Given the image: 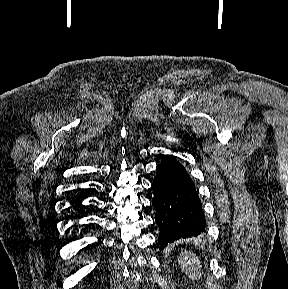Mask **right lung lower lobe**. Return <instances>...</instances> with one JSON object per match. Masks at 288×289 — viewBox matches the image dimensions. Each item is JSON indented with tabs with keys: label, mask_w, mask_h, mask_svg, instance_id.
Masks as SVG:
<instances>
[{
	"label": "right lung lower lobe",
	"mask_w": 288,
	"mask_h": 289,
	"mask_svg": "<svg viewBox=\"0 0 288 289\" xmlns=\"http://www.w3.org/2000/svg\"><path fill=\"white\" fill-rule=\"evenodd\" d=\"M82 206H74V209L81 208Z\"/></svg>",
	"instance_id": "obj_1"
}]
</instances>
